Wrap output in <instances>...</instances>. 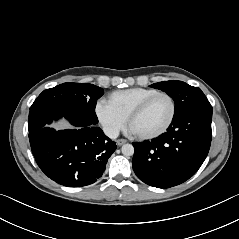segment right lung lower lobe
Returning <instances> with one entry per match:
<instances>
[{
	"label": "right lung lower lobe",
	"instance_id": "98d812e1",
	"mask_svg": "<svg viewBox=\"0 0 239 239\" xmlns=\"http://www.w3.org/2000/svg\"><path fill=\"white\" fill-rule=\"evenodd\" d=\"M69 120L77 129L56 131L47 127L50 120L29 131L32 153L44 174L58 184L67 187L93 184L102 176L116 143L96 123Z\"/></svg>",
	"mask_w": 239,
	"mask_h": 239
}]
</instances>
